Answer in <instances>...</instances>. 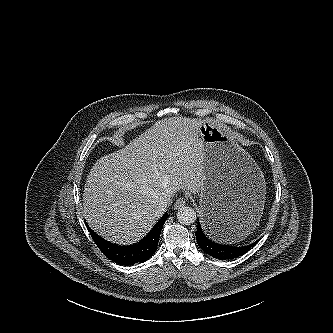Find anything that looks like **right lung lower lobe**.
Returning a JSON list of instances; mask_svg holds the SVG:
<instances>
[{"instance_id":"right-lung-lower-lobe-1","label":"right lung lower lobe","mask_w":333,"mask_h":333,"mask_svg":"<svg viewBox=\"0 0 333 333\" xmlns=\"http://www.w3.org/2000/svg\"><path fill=\"white\" fill-rule=\"evenodd\" d=\"M167 217L168 213H165L143 240L129 246L113 244L100 237L89 227L88 229L95 244L108 259L117 264L129 266L138 262H144L155 253L160 233Z\"/></svg>"}]
</instances>
